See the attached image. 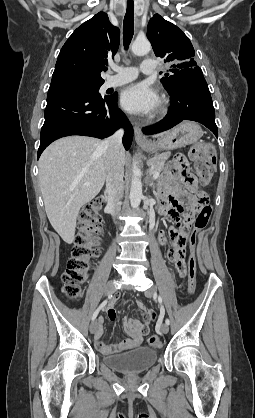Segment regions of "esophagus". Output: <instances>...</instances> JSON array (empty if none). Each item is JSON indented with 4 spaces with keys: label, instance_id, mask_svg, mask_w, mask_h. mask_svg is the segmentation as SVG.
<instances>
[{
    "label": "esophagus",
    "instance_id": "1",
    "mask_svg": "<svg viewBox=\"0 0 255 418\" xmlns=\"http://www.w3.org/2000/svg\"><path fill=\"white\" fill-rule=\"evenodd\" d=\"M134 136L138 144L147 143L146 137L143 135L141 128L138 125H134Z\"/></svg>",
    "mask_w": 255,
    "mask_h": 418
}]
</instances>
